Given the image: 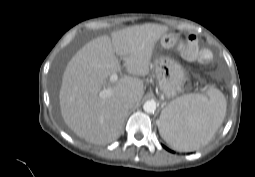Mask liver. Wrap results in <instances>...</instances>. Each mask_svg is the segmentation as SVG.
Segmentation results:
<instances>
[{
  "mask_svg": "<svg viewBox=\"0 0 255 177\" xmlns=\"http://www.w3.org/2000/svg\"><path fill=\"white\" fill-rule=\"evenodd\" d=\"M167 31L166 26L150 23L127 27L111 37L88 42L72 57L63 74L59 99L61 115L77 136L98 145L119 137L128 113L125 101L142 99L143 81L138 76L149 74L155 44ZM115 54L124 57V66L133 76L111 85L108 77L121 67ZM105 85L113 93L101 98L99 92Z\"/></svg>",
  "mask_w": 255,
  "mask_h": 177,
  "instance_id": "6515ba94",
  "label": "liver"
}]
</instances>
